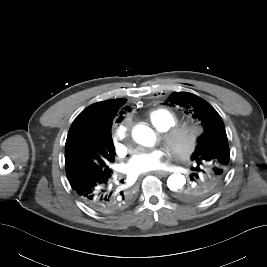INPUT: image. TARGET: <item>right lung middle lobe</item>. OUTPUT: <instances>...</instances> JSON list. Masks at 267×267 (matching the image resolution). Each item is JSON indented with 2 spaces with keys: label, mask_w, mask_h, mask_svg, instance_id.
<instances>
[{
  "label": "right lung middle lobe",
  "mask_w": 267,
  "mask_h": 267,
  "mask_svg": "<svg viewBox=\"0 0 267 267\" xmlns=\"http://www.w3.org/2000/svg\"><path fill=\"white\" fill-rule=\"evenodd\" d=\"M115 150L111 133L98 139L84 128L68 134L65 145V167L68 180L95 172L107 174L114 162Z\"/></svg>",
  "instance_id": "right-lung-middle-lobe-1"
}]
</instances>
